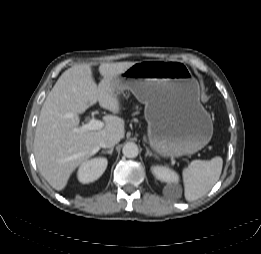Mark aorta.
<instances>
[{"label":"aorta","instance_id":"obj_1","mask_svg":"<svg viewBox=\"0 0 261 254\" xmlns=\"http://www.w3.org/2000/svg\"><path fill=\"white\" fill-rule=\"evenodd\" d=\"M122 153L127 158H135L138 156V146L133 142H128L123 146Z\"/></svg>","mask_w":261,"mask_h":254}]
</instances>
